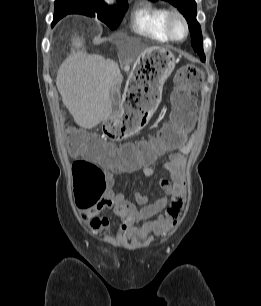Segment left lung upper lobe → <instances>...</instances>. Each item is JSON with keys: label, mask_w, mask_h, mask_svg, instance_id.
Listing matches in <instances>:
<instances>
[{"label": "left lung upper lobe", "mask_w": 261, "mask_h": 306, "mask_svg": "<svg viewBox=\"0 0 261 306\" xmlns=\"http://www.w3.org/2000/svg\"><path fill=\"white\" fill-rule=\"evenodd\" d=\"M156 1V0H152ZM177 7V9L184 15L186 18L189 30L191 32V44L194 48V51L198 53L201 61H205V54L203 53V42L201 27L196 20L197 7L194 0H165Z\"/></svg>", "instance_id": "1"}]
</instances>
